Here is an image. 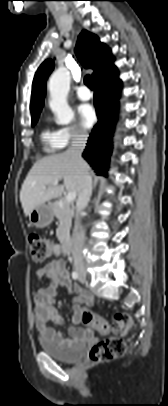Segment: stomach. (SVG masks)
Instances as JSON below:
<instances>
[{
    "instance_id": "obj_1",
    "label": "stomach",
    "mask_w": 168,
    "mask_h": 406,
    "mask_svg": "<svg viewBox=\"0 0 168 406\" xmlns=\"http://www.w3.org/2000/svg\"><path fill=\"white\" fill-rule=\"evenodd\" d=\"M54 210L51 204H42L37 206L29 214V220L32 225L42 228L48 226L53 221Z\"/></svg>"
}]
</instances>
